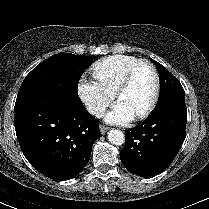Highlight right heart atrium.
Returning a JSON list of instances; mask_svg holds the SVG:
<instances>
[{"label":"right heart atrium","mask_w":209,"mask_h":209,"mask_svg":"<svg viewBox=\"0 0 209 209\" xmlns=\"http://www.w3.org/2000/svg\"><path fill=\"white\" fill-rule=\"evenodd\" d=\"M78 92L87 110L96 117L104 112L114 98V93L97 79H90L86 76L81 77Z\"/></svg>","instance_id":"obj_1"}]
</instances>
